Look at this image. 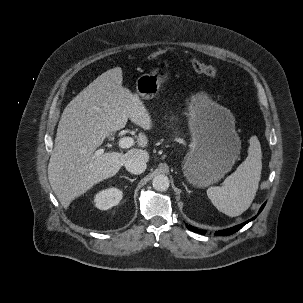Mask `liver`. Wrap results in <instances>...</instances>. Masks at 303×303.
Masks as SVG:
<instances>
[{
    "instance_id": "liver-1",
    "label": "liver",
    "mask_w": 303,
    "mask_h": 303,
    "mask_svg": "<svg viewBox=\"0 0 303 303\" xmlns=\"http://www.w3.org/2000/svg\"><path fill=\"white\" fill-rule=\"evenodd\" d=\"M122 69L116 67L98 76L64 109L48 165V179L61 205L66 209L95 184L118 173L132 157L148 161L146 150L132 148L126 153L96 149L114 131L125 127L128 119L145 130L152 127L151 116L138 94L122 85ZM139 133L138 146H147Z\"/></svg>"
}]
</instances>
